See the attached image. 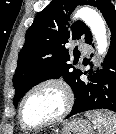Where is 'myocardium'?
<instances>
[{"mask_svg":"<svg viewBox=\"0 0 116 134\" xmlns=\"http://www.w3.org/2000/svg\"><path fill=\"white\" fill-rule=\"evenodd\" d=\"M48 86H53V87L58 88L61 91V93L63 94V98H64L63 109L61 110V112L58 115H56L52 119L47 120L43 123H39V124L27 123L23 117V107H24L26 99L34 91H36L40 88H43V87H48ZM72 106H73V94H72V91L69 88V86L63 80H60V79H56V78L45 79V80L39 81L38 83H36L32 87H30L25 92L23 97L21 98L20 103H19V108H18L19 122H20L21 126H23L26 129L46 128V127H49L51 125H54V124L61 122L68 115Z\"/></svg>","mask_w":116,"mask_h":134,"instance_id":"myocardium-1","label":"myocardium"}]
</instances>
